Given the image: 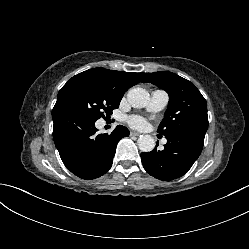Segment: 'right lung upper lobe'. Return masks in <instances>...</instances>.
Wrapping results in <instances>:
<instances>
[{
  "mask_svg": "<svg viewBox=\"0 0 249 249\" xmlns=\"http://www.w3.org/2000/svg\"><path fill=\"white\" fill-rule=\"evenodd\" d=\"M82 73L93 76L115 94L122 97L130 87L141 81L144 82L146 75L145 73L115 71L105 68H93Z\"/></svg>",
  "mask_w": 249,
  "mask_h": 249,
  "instance_id": "right-lung-upper-lobe-1",
  "label": "right lung upper lobe"
}]
</instances>
